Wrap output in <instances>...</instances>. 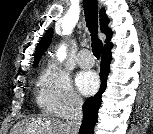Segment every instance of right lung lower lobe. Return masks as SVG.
<instances>
[{"mask_svg":"<svg viewBox=\"0 0 153 134\" xmlns=\"http://www.w3.org/2000/svg\"><path fill=\"white\" fill-rule=\"evenodd\" d=\"M111 48H104L101 60V87L94 97L88 98L83 106V121L80 127V134H93V128L97 122V112L101 105V95L105 91L106 80L109 74V65L111 62Z\"/></svg>","mask_w":153,"mask_h":134,"instance_id":"right-lung-lower-lobe-1","label":"right lung lower lobe"}]
</instances>
